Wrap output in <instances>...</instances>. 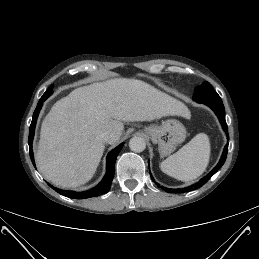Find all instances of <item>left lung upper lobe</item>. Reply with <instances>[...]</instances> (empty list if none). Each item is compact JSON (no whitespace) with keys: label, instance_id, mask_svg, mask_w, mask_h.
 Segmentation results:
<instances>
[{"label":"left lung upper lobe","instance_id":"obj_1","mask_svg":"<svg viewBox=\"0 0 259 259\" xmlns=\"http://www.w3.org/2000/svg\"><path fill=\"white\" fill-rule=\"evenodd\" d=\"M193 100L197 101L198 103L220 102L221 98L209 82H204L201 86L196 88L193 95Z\"/></svg>","mask_w":259,"mask_h":259}]
</instances>
